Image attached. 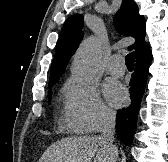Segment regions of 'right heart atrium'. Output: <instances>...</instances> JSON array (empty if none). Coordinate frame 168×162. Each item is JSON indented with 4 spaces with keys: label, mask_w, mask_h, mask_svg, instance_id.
Instances as JSON below:
<instances>
[{
    "label": "right heart atrium",
    "mask_w": 168,
    "mask_h": 162,
    "mask_svg": "<svg viewBox=\"0 0 168 162\" xmlns=\"http://www.w3.org/2000/svg\"><path fill=\"white\" fill-rule=\"evenodd\" d=\"M115 113L101 98L96 85L70 78L66 84L65 124L82 133H95L110 125Z\"/></svg>",
    "instance_id": "1"
}]
</instances>
